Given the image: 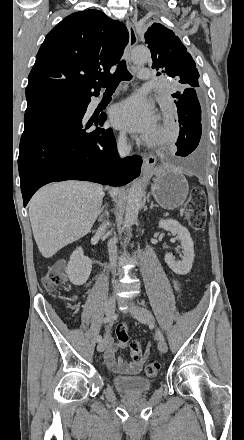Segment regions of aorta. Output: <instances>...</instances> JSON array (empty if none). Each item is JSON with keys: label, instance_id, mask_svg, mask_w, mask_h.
Listing matches in <instances>:
<instances>
[{"label": "aorta", "instance_id": "aorta-1", "mask_svg": "<svg viewBox=\"0 0 244 440\" xmlns=\"http://www.w3.org/2000/svg\"><path fill=\"white\" fill-rule=\"evenodd\" d=\"M150 58V51L143 46H137L131 53V59L135 63L146 62ZM143 197V187L139 180H136L127 196L124 227L128 230L138 218Z\"/></svg>", "mask_w": 244, "mask_h": 440}]
</instances>
